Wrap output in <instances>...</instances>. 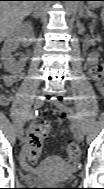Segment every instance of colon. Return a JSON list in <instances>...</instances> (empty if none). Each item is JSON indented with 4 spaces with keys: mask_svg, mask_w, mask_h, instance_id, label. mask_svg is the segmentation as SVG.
<instances>
[{
    "mask_svg": "<svg viewBox=\"0 0 104 189\" xmlns=\"http://www.w3.org/2000/svg\"><path fill=\"white\" fill-rule=\"evenodd\" d=\"M94 75L98 78L102 77V68L96 66L93 71ZM51 132L50 125L42 122L37 126L36 131L33 133L29 149L26 154L27 164L31 167L35 166L40 158L44 144L47 141ZM66 154L71 162H76L79 158V148L74 142H69L66 145Z\"/></svg>",
    "mask_w": 104,
    "mask_h": 189,
    "instance_id": "5ec220e1",
    "label": "colon"
}]
</instances>
